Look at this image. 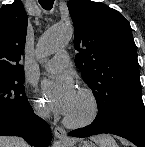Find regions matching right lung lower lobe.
Here are the masks:
<instances>
[{"label": "right lung lower lobe", "mask_w": 145, "mask_h": 147, "mask_svg": "<svg viewBox=\"0 0 145 147\" xmlns=\"http://www.w3.org/2000/svg\"><path fill=\"white\" fill-rule=\"evenodd\" d=\"M0 136H20L36 147H47L51 142L49 125L34 114L29 105L20 114L0 117Z\"/></svg>", "instance_id": "1"}]
</instances>
